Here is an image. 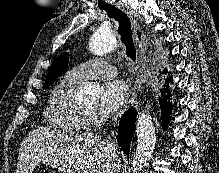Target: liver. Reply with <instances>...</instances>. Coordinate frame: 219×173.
<instances>
[{
  "mask_svg": "<svg viewBox=\"0 0 219 173\" xmlns=\"http://www.w3.org/2000/svg\"><path fill=\"white\" fill-rule=\"evenodd\" d=\"M110 141L90 133H64L49 128L31 131L21 143L16 173H32L40 163L64 173H117L119 156Z\"/></svg>",
  "mask_w": 219,
  "mask_h": 173,
  "instance_id": "liver-1",
  "label": "liver"
}]
</instances>
